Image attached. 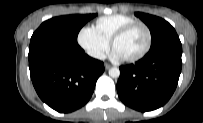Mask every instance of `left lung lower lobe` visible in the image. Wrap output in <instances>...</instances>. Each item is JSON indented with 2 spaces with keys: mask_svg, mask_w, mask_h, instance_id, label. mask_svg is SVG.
<instances>
[{
  "mask_svg": "<svg viewBox=\"0 0 203 123\" xmlns=\"http://www.w3.org/2000/svg\"><path fill=\"white\" fill-rule=\"evenodd\" d=\"M180 40L150 51L135 64L120 67L117 92L121 101L138 111L162 107L174 93L182 67Z\"/></svg>",
  "mask_w": 203,
  "mask_h": 123,
  "instance_id": "obj_1",
  "label": "left lung lower lobe"
}]
</instances>
